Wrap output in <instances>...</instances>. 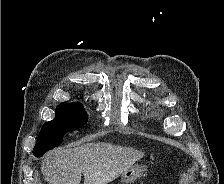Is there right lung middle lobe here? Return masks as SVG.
<instances>
[{
    "mask_svg": "<svg viewBox=\"0 0 224 184\" xmlns=\"http://www.w3.org/2000/svg\"><path fill=\"white\" fill-rule=\"evenodd\" d=\"M87 120L88 116L81 104L61 103L55 110V118L42 126L33 154L40 157L58 146L66 132L84 126Z\"/></svg>",
    "mask_w": 224,
    "mask_h": 184,
    "instance_id": "dd1d6c3e",
    "label": "right lung middle lobe"
}]
</instances>
